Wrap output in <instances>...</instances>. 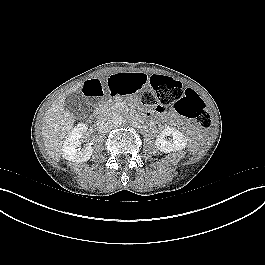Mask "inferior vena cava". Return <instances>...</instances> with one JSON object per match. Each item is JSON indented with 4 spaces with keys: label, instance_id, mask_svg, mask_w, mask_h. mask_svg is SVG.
Listing matches in <instances>:
<instances>
[{
    "label": "inferior vena cava",
    "instance_id": "inferior-vena-cava-1",
    "mask_svg": "<svg viewBox=\"0 0 265 265\" xmlns=\"http://www.w3.org/2000/svg\"><path fill=\"white\" fill-rule=\"evenodd\" d=\"M112 122L109 118H100L97 122V130L99 133H107L112 129Z\"/></svg>",
    "mask_w": 265,
    "mask_h": 265
}]
</instances>
